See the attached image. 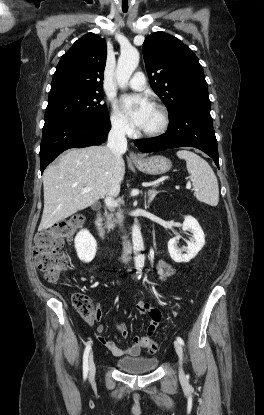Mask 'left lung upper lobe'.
<instances>
[{
  "mask_svg": "<svg viewBox=\"0 0 264 415\" xmlns=\"http://www.w3.org/2000/svg\"><path fill=\"white\" fill-rule=\"evenodd\" d=\"M150 84L171 116L193 104H211L202 66L193 51L162 31L146 37L142 46Z\"/></svg>",
  "mask_w": 264,
  "mask_h": 415,
  "instance_id": "left-lung-upper-lobe-1",
  "label": "left lung upper lobe"
}]
</instances>
